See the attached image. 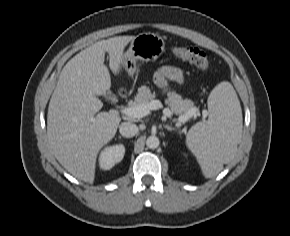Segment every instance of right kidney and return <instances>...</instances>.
I'll return each mask as SVG.
<instances>
[{
  "label": "right kidney",
  "mask_w": 290,
  "mask_h": 236,
  "mask_svg": "<svg viewBox=\"0 0 290 236\" xmlns=\"http://www.w3.org/2000/svg\"><path fill=\"white\" fill-rule=\"evenodd\" d=\"M125 154V147L123 144H116L106 147L99 157V165L101 169L109 170L115 164L119 163Z\"/></svg>",
  "instance_id": "ca27d5eb"
}]
</instances>
